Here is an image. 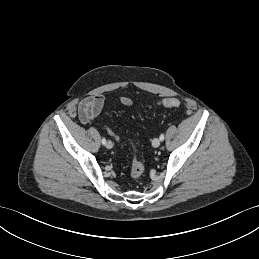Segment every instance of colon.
Returning a JSON list of instances; mask_svg holds the SVG:
<instances>
[{"instance_id":"obj_1","label":"colon","mask_w":259,"mask_h":259,"mask_svg":"<svg viewBox=\"0 0 259 259\" xmlns=\"http://www.w3.org/2000/svg\"><path fill=\"white\" fill-rule=\"evenodd\" d=\"M160 105L167 108H178L180 106V101L176 98H166L160 102ZM108 131L117 139L120 138L119 135L112 128H108ZM144 171L145 166L143 162L138 158H134L130 169V177L133 180H136L143 175Z\"/></svg>"}]
</instances>
